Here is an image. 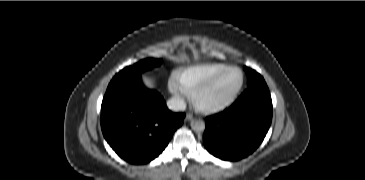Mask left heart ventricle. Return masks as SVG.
Wrapping results in <instances>:
<instances>
[{"mask_svg": "<svg viewBox=\"0 0 365 180\" xmlns=\"http://www.w3.org/2000/svg\"><path fill=\"white\" fill-rule=\"evenodd\" d=\"M240 82V72L237 70H229L198 96V103L205 107L223 103L231 98Z\"/></svg>", "mask_w": 365, "mask_h": 180, "instance_id": "left-heart-ventricle-1", "label": "left heart ventricle"}]
</instances>
